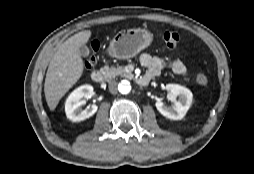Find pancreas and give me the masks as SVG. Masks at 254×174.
Returning <instances> with one entry per match:
<instances>
[{"label": "pancreas", "instance_id": "pancreas-1", "mask_svg": "<svg viewBox=\"0 0 254 174\" xmlns=\"http://www.w3.org/2000/svg\"><path fill=\"white\" fill-rule=\"evenodd\" d=\"M101 72L105 74V76L108 79H113L117 76H122V77H131L132 75L130 73H127L125 71V68L122 66L118 67H113V66H108L105 65L103 68H101Z\"/></svg>", "mask_w": 254, "mask_h": 174}]
</instances>
